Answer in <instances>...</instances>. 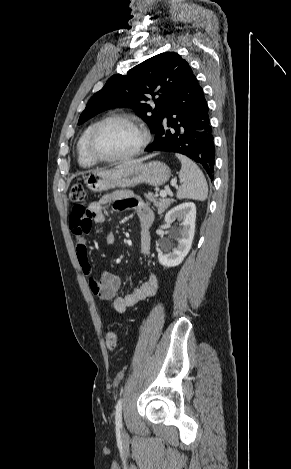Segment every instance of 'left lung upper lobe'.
<instances>
[{
    "mask_svg": "<svg viewBox=\"0 0 291 469\" xmlns=\"http://www.w3.org/2000/svg\"><path fill=\"white\" fill-rule=\"evenodd\" d=\"M191 68L188 62L175 52H165L153 56L134 68L126 75H113L104 87L89 100L80 115L82 124L96 114L119 107L135 110L151 131L161 126L168 103L186 82ZM150 95L156 108L146 104ZM152 112V115H148Z\"/></svg>",
    "mask_w": 291,
    "mask_h": 469,
    "instance_id": "1",
    "label": "left lung upper lobe"
}]
</instances>
